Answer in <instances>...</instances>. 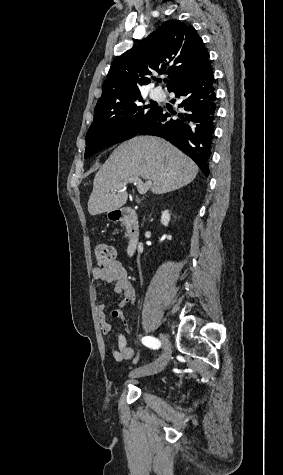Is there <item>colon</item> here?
I'll use <instances>...</instances> for the list:
<instances>
[{
	"instance_id": "obj_1",
	"label": "colon",
	"mask_w": 283,
	"mask_h": 475,
	"mask_svg": "<svg viewBox=\"0 0 283 475\" xmlns=\"http://www.w3.org/2000/svg\"><path fill=\"white\" fill-rule=\"evenodd\" d=\"M94 255L99 266L112 265L116 262L115 250L112 246L107 244H98L94 248Z\"/></svg>"
}]
</instances>
